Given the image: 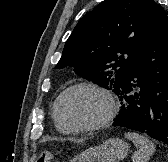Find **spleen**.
Masks as SVG:
<instances>
[{
  "instance_id": "obj_1",
  "label": "spleen",
  "mask_w": 168,
  "mask_h": 162,
  "mask_svg": "<svg viewBox=\"0 0 168 162\" xmlns=\"http://www.w3.org/2000/svg\"><path fill=\"white\" fill-rule=\"evenodd\" d=\"M125 137L132 141L138 150L134 153L133 162H147L155 152L156 147L147 137L138 133H125Z\"/></svg>"
}]
</instances>
